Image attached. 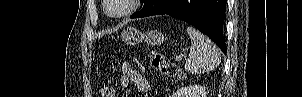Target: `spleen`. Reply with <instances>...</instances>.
Masks as SVG:
<instances>
[{"mask_svg":"<svg viewBox=\"0 0 302 97\" xmlns=\"http://www.w3.org/2000/svg\"><path fill=\"white\" fill-rule=\"evenodd\" d=\"M186 31L191 39V46L189 57L185 62V71L204 73L218 67L221 62L218 47L195 28L187 27Z\"/></svg>","mask_w":302,"mask_h":97,"instance_id":"1","label":"spleen"}]
</instances>
